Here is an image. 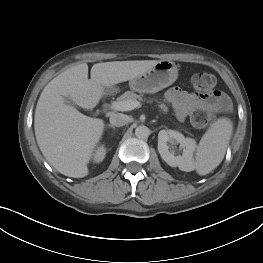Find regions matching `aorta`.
<instances>
[{"instance_id": "762f6f07", "label": "aorta", "mask_w": 263, "mask_h": 263, "mask_svg": "<svg viewBox=\"0 0 263 263\" xmlns=\"http://www.w3.org/2000/svg\"><path fill=\"white\" fill-rule=\"evenodd\" d=\"M150 134V130L145 125H140L135 129V135L138 138L144 139L147 138Z\"/></svg>"}]
</instances>
